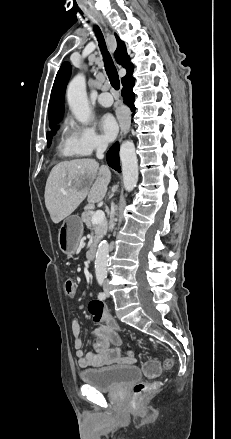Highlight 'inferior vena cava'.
<instances>
[{"label": "inferior vena cava", "instance_id": "obj_1", "mask_svg": "<svg viewBox=\"0 0 231 439\" xmlns=\"http://www.w3.org/2000/svg\"><path fill=\"white\" fill-rule=\"evenodd\" d=\"M107 148V144L103 141H99L97 143V147H96V156L98 159H103L104 157V152ZM114 204L112 203V212H111V216H110V223H109V227L111 230H113L114 226H115V216H114Z\"/></svg>", "mask_w": 231, "mask_h": 439}]
</instances>
